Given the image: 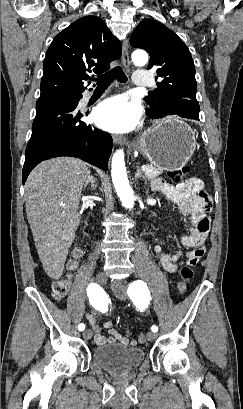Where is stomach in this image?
Wrapping results in <instances>:
<instances>
[{
	"instance_id": "obj_1",
	"label": "stomach",
	"mask_w": 243,
	"mask_h": 409,
	"mask_svg": "<svg viewBox=\"0 0 243 409\" xmlns=\"http://www.w3.org/2000/svg\"><path fill=\"white\" fill-rule=\"evenodd\" d=\"M195 148L194 131L175 117L162 119L142 132L135 146L152 165L166 171L179 170L186 165Z\"/></svg>"
}]
</instances>
